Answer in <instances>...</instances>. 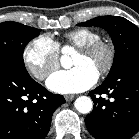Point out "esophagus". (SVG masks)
<instances>
[{
	"label": "esophagus",
	"mask_w": 139,
	"mask_h": 139,
	"mask_svg": "<svg viewBox=\"0 0 139 139\" xmlns=\"http://www.w3.org/2000/svg\"><path fill=\"white\" fill-rule=\"evenodd\" d=\"M74 98H75V95H66V96H65V100H66L67 102L72 101Z\"/></svg>",
	"instance_id": "esophagus-1"
}]
</instances>
